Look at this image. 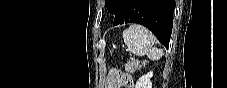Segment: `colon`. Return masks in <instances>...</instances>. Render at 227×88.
<instances>
[{
    "label": "colon",
    "mask_w": 227,
    "mask_h": 88,
    "mask_svg": "<svg viewBox=\"0 0 227 88\" xmlns=\"http://www.w3.org/2000/svg\"><path fill=\"white\" fill-rule=\"evenodd\" d=\"M124 87H127V88H134V85L132 84L131 81H128V82L124 85Z\"/></svg>",
    "instance_id": "colon-1"
}]
</instances>
